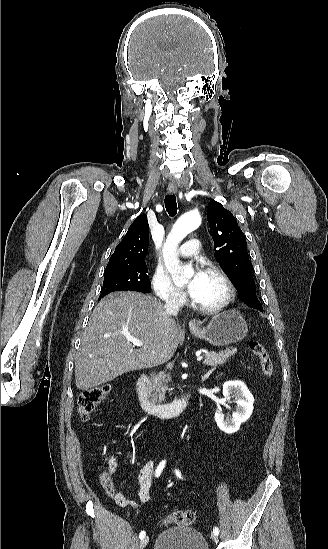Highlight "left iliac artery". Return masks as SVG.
Returning <instances> with one entry per match:
<instances>
[{
  "mask_svg": "<svg viewBox=\"0 0 328 549\" xmlns=\"http://www.w3.org/2000/svg\"><path fill=\"white\" fill-rule=\"evenodd\" d=\"M175 472H176V475H177L179 478H181V473H180L178 470H175ZM213 533H214L215 535H218V534H219V529H218L217 527H215V528L213 529Z\"/></svg>",
  "mask_w": 328,
  "mask_h": 549,
  "instance_id": "obj_1",
  "label": "left iliac artery"
}]
</instances>
